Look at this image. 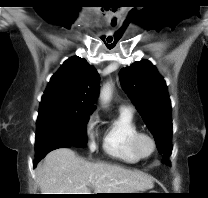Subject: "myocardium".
I'll return each instance as SVG.
<instances>
[{
    "label": "myocardium",
    "instance_id": "obj_1",
    "mask_svg": "<svg viewBox=\"0 0 208 198\" xmlns=\"http://www.w3.org/2000/svg\"><path fill=\"white\" fill-rule=\"evenodd\" d=\"M143 140H147L151 144V150L148 153H145L142 150L141 144H142ZM132 145H133V148H134L135 152L137 153V155L142 159H146V158L151 157L156 151L155 139L153 138V136H151L150 134H148L146 132L139 131L134 136L133 141H132Z\"/></svg>",
    "mask_w": 208,
    "mask_h": 198
}]
</instances>
